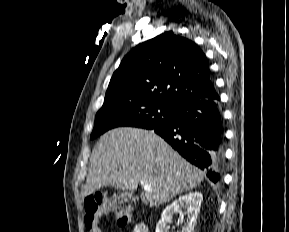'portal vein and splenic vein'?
<instances>
[{
    "label": "portal vein and splenic vein",
    "instance_id": "portal-vein-and-splenic-vein-1",
    "mask_svg": "<svg viewBox=\"0 0 289 232\" xmlns=\"http://www.w3.org/2000/svg\"><path fill=\"white\" fill-rule=\"evenodd\" d=\"M141 185H142V187H143V189H144L145 191H150V190H151V187H150L149 185L144 184V183H141Z\"/></svg>",
    "mask_w": 289,
    "mask_h": 232
}]
</instances>
